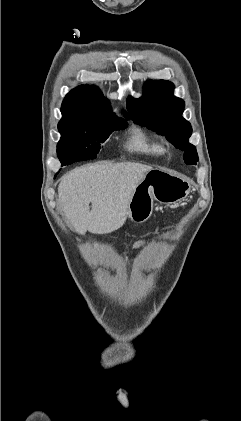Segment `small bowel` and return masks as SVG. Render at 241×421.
<instances>
[{
  "mask_svg": "<svg viewBox=\"0 0 241 421\" xmlns=\"http://www.w3.org/2000/svg\"><path fill=\"white\" fill-rule=\"evenodd\" d=\"M145 240L144 239H142V240H140L139 242H138V244L137 245H140L141 243H143Z\"/></svg>",
  "mask_w": 241,
  "mask_h": 421,
  "instance_id": "c3829d8e",
  "label": "small bowel"
}]
</instances>
